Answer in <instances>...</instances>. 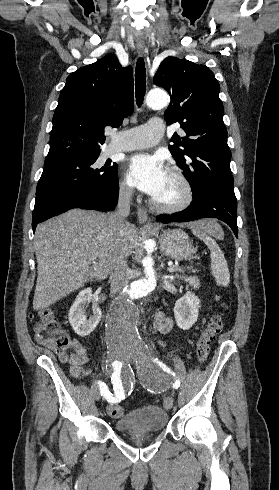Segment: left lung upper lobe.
<instances>
[{"label":"left lung upper lobe","instance_id":"left-lung-upper-lobe-1","mask_svg":"<svg viewBox=\"0 0 279 490\" xmlns=\"http://www.w3.org/2000/svg\"><path fill=\"white\" fill-rule=\"evenodd\" d=\"M153 82L172 97L164 113L167 124L179 122L186 133H174V145H169V150L193 194L206 184L233 189L224 108L213 72L186 59L168 57L160 64Z\"/></svg>","mask_w":279,"mask_h":490}]
</instances>
